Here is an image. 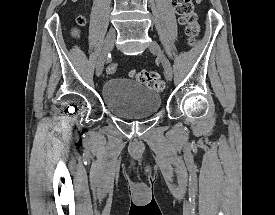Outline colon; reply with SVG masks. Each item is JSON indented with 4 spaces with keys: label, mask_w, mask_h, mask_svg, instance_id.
Returning a JSON list of instances; mask_svg holds the SVG:
<instances>
[{
    "label": "colon",
    "mask_w": 275,
    "mask_h": 215,
    "mask_svg": "<svg viewBox=\"0 0 275 215\" xmlns=\"http://www.w3.org/2000/svg\"><path fill=\"white\" fill-rule=\"evenodd\" d=\"M173 2L175 10L180 16V23L186 26V34L189 41L192 42L199 31L194 0H173ZM75 21L79 27L85 25V18L81 15L77 16ZM116 70L117 65L115 63H110L107 67L108 73H114ZM133 74L138 82L146 85L151 90L160 92L165 87L160 75L154 71L138 70L133 71Z\"/></svg>",
    "instance_id": "colon-1"
}]
</instances>
